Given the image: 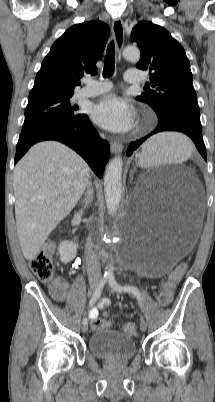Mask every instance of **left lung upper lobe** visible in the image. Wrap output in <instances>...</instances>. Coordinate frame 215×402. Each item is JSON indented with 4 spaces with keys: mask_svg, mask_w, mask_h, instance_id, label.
Listing matches in <instances>:
<instances>
[{
    "mask_svg": "<svg viewBox=\"0 0 215 402\" xmlns=\"http://www.w3.org/2000/svg\"><path fill=\"white\" fill-rule=\"evenodd\" d=\"M131 40L141 51L137 68L150 75L148 92L136 99L149 104L158 115L177 112L200 120L190 63L183 47L166 29L149 21L134 26Z\"/></svg>",
    "mask_w": 215,
    "mask_h": 402,
    "instance_id": "5c2ea615",
    "label": "left lung upper lobe"
}]
</instances>
